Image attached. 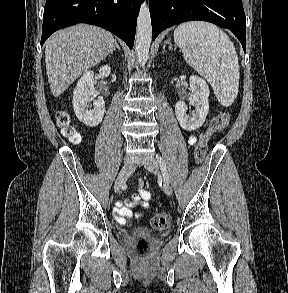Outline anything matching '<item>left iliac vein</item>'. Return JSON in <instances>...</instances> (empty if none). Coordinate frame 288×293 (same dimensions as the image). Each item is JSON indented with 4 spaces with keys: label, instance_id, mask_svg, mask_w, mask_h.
Instances as JSON below:
<instances>
[{
    "label": "left iliac vein",
    "instance_id": "1",
    "mask_svg": "<svg viewBox=\"0 0 288 293\" xmlns=\"http://www.w3.org/2000/svg\"><path fill=\"white\" fill-rule=\"evenodd\" d=\"M145 168L153 174L159 175L160 173L159 165L155 159H149L145 163ZM163 190L168 196L172 195V188L170 184L166 181L164 182Z\"/></svg>",
    "mask_w": 288,
    "mask_h": 293
}]
</instances>
